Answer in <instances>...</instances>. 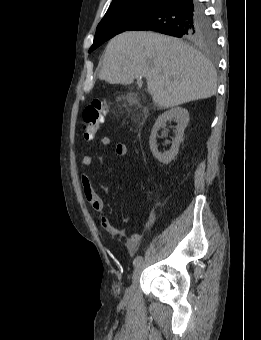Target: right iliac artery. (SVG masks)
<instances>
[{
  "instance_id": "1",
  "label": "right iliac artery",
  "mask_w": 261,
  "mask_h": 340,
  "mask_svg": "<svg viewBox=\"0 0 261 340\" xmlns=\"http://www.w3.org/2000/svg\"><path fill=\"white\" fill-rule=\"evenodd\" d=\"M143 260L142 256H137L135 257V259L133 260V265L136 267L138 264H140Z\"/></svg>"
}]
</instances>
